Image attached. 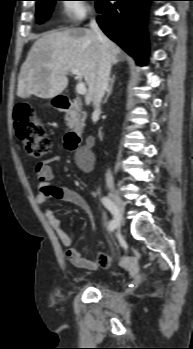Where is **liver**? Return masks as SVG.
Wrapping results in <instances>:
<instances>
[{
  "mask_svg": "<svg viewBox=\"0 0 193 349\" xmlns=\"http://www.w3.org/2000/svg\"><path fill=\"white\" fill-rule=\"evenodd\" d=\"M108 39V38H107ZM111 63L121 59L120 48L108 39ZM101 43L87 28H70L43 34L32 45L18 77L17 96L53 98L68 85L69 71L82 74L88 89L86 104L93 100Z\"/></svg>",
  "mask_w": 193,
  "mask_h": 349,
  "instance_id": "obj_1",
  "label": "liver"
}]
</instances>
